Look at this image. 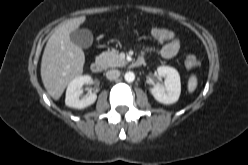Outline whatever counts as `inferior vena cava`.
<instances>
[{
    "instance_id": "602c4592",
    "label": "inferior vena cava",
    "mask_w": 248,
    "mask_h": 165,
    "mask_svg": "<svg viewBox=\"0 0 248 165\" xmlns=\"http://www.w3.org/2000/svg\"><path fill=\"white\" fill-rule=\"evenodd\" d=\"M120 76V71L117 69H112L106 72V77L109 80H115Z\"/></svg>"
}]
</instances>
